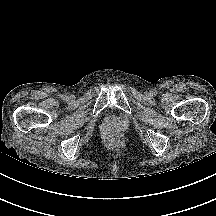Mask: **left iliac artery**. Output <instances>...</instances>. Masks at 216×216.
<instances>
[{
	"instance_id": "obj_1",
	"label": "left iliac artery",
	"mask_w": 216,
	"mask_h": 216,
	"mask_svg": "<svg viewBox=\"0 0 216 216\" xmlns=\"http://www.w3.org/2000/svg\"><path fill=\"white\" fill-rule=\"evenodd\" d=\"M152 93L155 95V94H156V91L154 90Z\"/></svg>"
}]
</instances>
